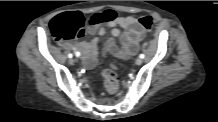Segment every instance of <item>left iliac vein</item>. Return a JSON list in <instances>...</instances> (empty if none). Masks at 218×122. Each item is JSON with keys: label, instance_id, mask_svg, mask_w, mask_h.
Segmentation results:
<instances>
[{"label": "left iliac vein", "instance_id": "obj_1", "mask_svg": "<svg viewBox=\"0 0 218 122\" xmlns=\"http://www.w3.org/2000/svg\"><path fill=\"white\" fill-rule=\"evenodd\" d=\"M135 63H136V65H141L142 64V59L141 58H137Z\"/></svg>", "mask_w": 218, "mask_h": 122}]
</instances>
